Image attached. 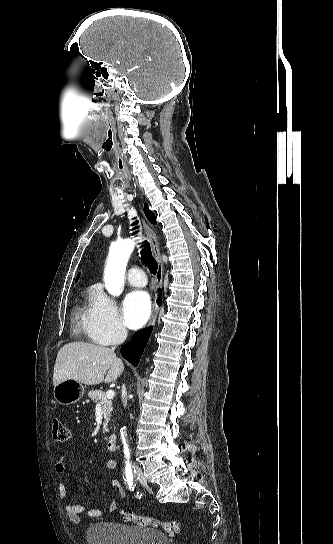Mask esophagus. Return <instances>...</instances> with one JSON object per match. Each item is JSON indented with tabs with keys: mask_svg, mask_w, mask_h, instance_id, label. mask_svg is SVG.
I'll return each instance as SVG.
<instances>
[{
	"mask_svg": "<svg viewBox=\"0 0 333 544\" xmlns=\"http://www.w3.org/2000/svg\"><path fill=\"white\" fill-rule=\"evenodd\" d=\"M139 207L141 208V203H139ZM143 224H144L146 235H147V237H148V239L150 241V244H151V250H152L153 256L155 257V259L157 261V264H158L157 272H156V276H155V287H156V297H157V293H158V291H159V289L161 287V284H162L163 271H164L163 263H162L161 256H160V249H159L158 239H157V236H156V233H155L154 229L147 222V220L145 218L143 219ZM156 313H157V305L154 302L152 315H151V318H150V321H149V325L154 321V319L156 317Z\"/></svg>",
	"mask_w": 333,
	"mask_h": 544,
	"instance_id": "1",
	"label": "esophagus"
}]
</instances>
